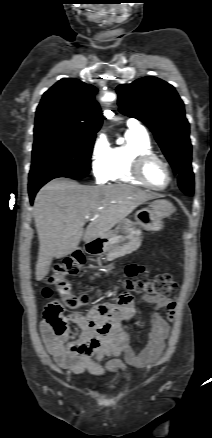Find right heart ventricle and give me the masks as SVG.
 I'll return each instance as SVG.
<instances>
[{
	"label": "right heart ventricle",
	"mask_w": 212,
	"mask_h": 438,
	"mask_svg": "<svg viewBox=\"0 0 212 438\" xmlns=\"http://www.w3.org/2000/svg\"><path fill=\"white\" fill-rule=\"evenodd\" d=\"M126 143L109 149V169L106 181L142 185L132 173L134 158L142 153H154L153 145L146 131L129 129Z\"/></svg>",
	"instance_id": "1"
}]
</instances>
